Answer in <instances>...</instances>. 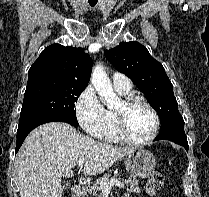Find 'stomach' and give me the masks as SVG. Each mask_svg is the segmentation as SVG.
I'll list each match as a JSON object with an SVG mask.
<instances>
[{"label":"stomach","instance_id":"stomach-1","mask_svg":"<svg viewBox=\"0 0 209 197\" xmlns=\"http://www.w3.org/2000/svg\"><path fill=\"white\" fill-rule=\"evenodd\" d=\"M126 169L135 177L149 178L156 168L153 154L144 148H135L125 157Z\"/></svg>","mask_w":209,"mask_h":197}]
</instances>
